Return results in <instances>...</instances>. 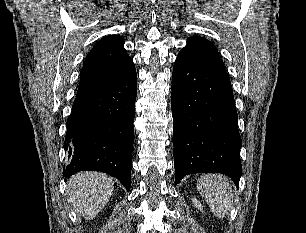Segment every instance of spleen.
<instances>
[{"instance_id":"1","label":"spleen","mask_w":306,"mask_h":233,"mask_svg":"<svg viewBox=\"0 0 306 233\" xmlns=\"http://www.w3.org/2000/svg\"><path fill=\"white\" fill-rule=\"evenodd\" d=\"M197 189L218 218H223L232 208L233 191L225 176L212 173L201 175Z\"/></svg>"}]
</instances>
